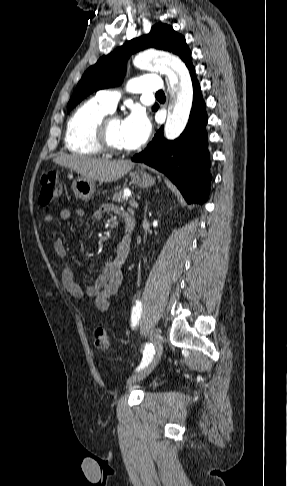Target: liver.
Returning a JSON list of instances; mask_svg holds the SVG:
<instances>
[{"mask_svg": "<svg viewBox=\"0 0 287 486\" xmlns=\"http://www.w3.org/2000/svg\"><path fill=\"white\" fill-rule=\"evenodd\" d=\"M53 161L63 167L69 168L83 177L100 182H112L128 173L134 163L130 160H103L79 155H60Z\"/></svg>", "mask_w": 287, "mask_h": 486, "instance_id": "6515ba94", "label": "liver"}]
</instances>
